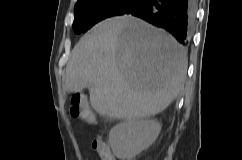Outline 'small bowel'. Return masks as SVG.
I'll return each mask as SVG.
<instances>
[{"instance_id":"small-bowel-1","label":"small bowel","mask_w":242,"mask_h":160,"mask_svg":"<svg viewBox=\"0 0 242 160\" xmlns=\"http://www.w3.org/2000/svg\"><path fill=\"white\" fill-rule=\"evenodd\" d=\"M97 151H99V149H98ZM110 160H115V158H114V157H112Z\"/></svg>"}]
</instances>
